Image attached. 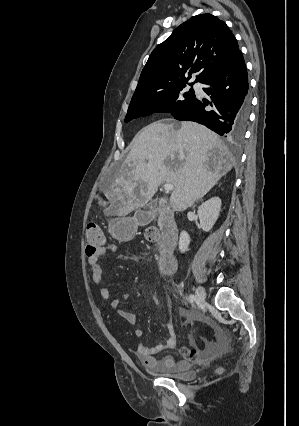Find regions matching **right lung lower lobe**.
<instances>
[{
    "instance_id": "98d812e1",
    "label": "right lung lower lobe",
    "mask_w": 299,
    "mask_h": 426,
    "mask_svg": "<svg viewBox=\"0 0 299 426\" xmlns=\"http://www.w3.org/2000/svg\"><path fill=\"white\" fill-rule=\"evenodd\" d=\"M210 100L194 97L182 110L172 114L180 121H195L229 138H240L249 111L248 77L240 52L227 66L202 82Z\"/></svg>"
}]
</instances>
